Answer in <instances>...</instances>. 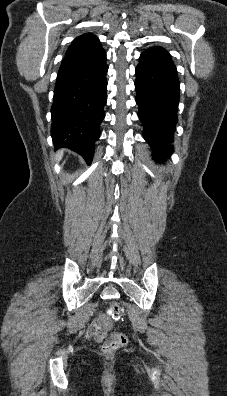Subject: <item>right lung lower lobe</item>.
Listing matches in <instances>:
<instances>
[{
  "label": "right lung lower lobe",
  "mask_w": 227,
  "mask_h": 396,
  "mask_svg": "<svg viewBox=\"0 0 227 396\" xmlns=\"http://www.w3.org/2000/svg\"><path fill=\"white\" fill-rule=\"evenodd\" d=\"M106 52L100 41L70 45L60 65L51 108L55 148L92 160L107 102Z\"/></svg>",
  "instance_id": "right-lung-lower-lobe-1"
}]
</instances>
